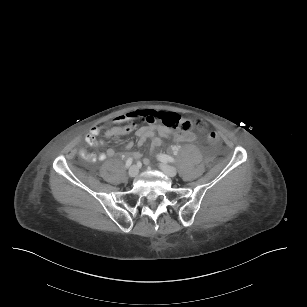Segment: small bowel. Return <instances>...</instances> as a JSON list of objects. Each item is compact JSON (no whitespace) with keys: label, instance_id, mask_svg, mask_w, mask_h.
I'll return each instance as SVG.
<instances>
[{"label":"small bowel","instance_id":"obj_1","mask_svg":"<svg viewBox=\"0 0 307 307\" xmlns=\"http://www.w3.org/2000/svg\"><path fill=\"white\" fill-rule=\"evenodd\" d=\"M155 112L153 110L148 109H138L126 114H123L114 119V124L122 125L126 123H131L134 120L142 119L147 124L145 126L140 127L136 131V136L138 137V146L144 145L147 141H150L152 150L158 149L163 142V138H170L180 142H193L196 139V135L192 132L186 135H179L175 132L170 131L164 126L157 125L155 123ZM134 124H129L127 127L121 129L116 128L111 130L110 132L123 131L126 132L127 128ZM134 128V127H133ZM100 133V126H93L85 135V142L90 146L102 145L103 141L97 139V136ZM133 142L128 141L125 144V150L129 151L133 147ZM80 155L85 158L89 162H95L96 160H105L106 158L113 157L115 155V150L110 148L106 152L100 153L98 155L94 153H87L85 149L80 150ZM141 157L140 153H135L134 158L138 159ZM145 164L149 163V160L144 161Z\"/></svg>","mask_w":307,"mask_h":307}]
</instances>
